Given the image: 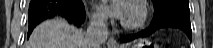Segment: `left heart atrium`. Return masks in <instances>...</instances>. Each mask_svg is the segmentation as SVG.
<instances>
[{
    "label": "left heart atrium",
    "mask_w": 213,
    "mask_h": 48,
    "mask_svg": "<svg viewBox=\"0 0 213 48\" xmlns=\"http://www.w3.org/2000/svg\"><path fill=\"white\" fill-rule=\"evenodd\" d=\"M100 8L107 15L125 20L128 14V3L125 0H105L100 4Z\"/></svg>",
    "instance_id": "1"
}]
</instances>
